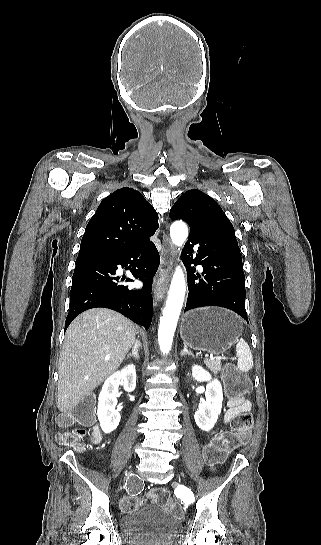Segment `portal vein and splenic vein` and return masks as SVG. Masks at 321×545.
Masks as SVG:
<instances>
[{
  "label": "portal vein and splenic vein",
  "instance_id": "obj_1",
  "mask_svg": "<svg viewBox=\"0 0 321 545\" xmlns=\"http://www.w3.org/2000/svg\"><path fill=\"white\" fill-rule=\"evenodd\" d=\"M208 357H210V359H212L211 356L209 355V353H205L204 358H208ZM105 361H109V359H105Z\"/></svg>",
  "mask_w": 321,
  "mask_h": 545
}]
</instances>
